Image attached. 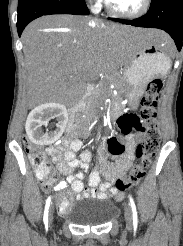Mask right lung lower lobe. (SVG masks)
Listing matches in <instances>:
<instances>
[{
    "label": "right lung lower lobe",
    "mask_w": 183,
    "mask_h": 246,
    "mask_svg": "<svg viewBox=\"0 0 183 246\" xmlns=\"http://www.w3.org/2000/svg\"><path fill=\"white\" fill-rule=\"evenodd\" d=\"M17 30L22 31L32 20L51 14L88 15V8L83 0H18Z\"/></svg>",
    "instance_id": "98d812e1"
}]
</instances>
